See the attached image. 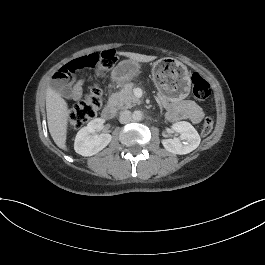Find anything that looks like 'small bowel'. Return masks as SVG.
I'll return each mask as SVG.
<instances>
[{"mask_svg":"<svg viewBox=\"0 0 265 265\" xmlns=\"http://www.w3.org/2000/svg\"><path fill=\"white\" fill-rule=\"evenodd\" d=\"M85 78L73 82L65 89L68 98L79 100L83 96ZM168 117L171 120L188 119L193 123H199L204 118L203 109L192 100L180 99L172 102L168 107Z\"/></svg>","mask_w":265,"mask_h":265,"instance_id":"1","label":"small bowel"}]
</instances>
